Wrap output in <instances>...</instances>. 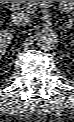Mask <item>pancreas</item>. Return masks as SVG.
Returning a JSON list of instances; mask_svg holds the SVG:
<instances>
[{"instance_id":"1","label":"pancreas","mask_w":74,"mask_h":122,"mask_svg":"<svg viewBox=\"0 0 74 122\" xmlns=\"http://www.w3.org/2000/svg\"><path fill=\"white\" fill-rule=\"evenodd\" d=\"M13 3L19 8H30L36 5V1H13Z\"/></svg>"}]
</instances>
